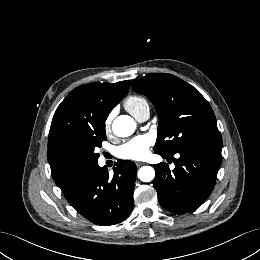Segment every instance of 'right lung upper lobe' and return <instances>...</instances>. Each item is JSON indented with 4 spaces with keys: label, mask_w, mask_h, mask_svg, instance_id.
<instances>
[{
    "label": "right lung upper lobe",
    "mask_w": 260,
    "mask_h": 260,
    "mask_svg": "<svg viewBox=\"0 0 260 260\" xmlns=\"http://www.w3.org/2000/svg\"><path fill=\"white\" fill-rule=\"evenodd\" d=\"M129 86V80L81 85L58 106L50 127L47 158L62 192L84 171L79 159L83 138L105 124L111 110L127 95Z\"/></svg>",
    "instance_id": "right-lung-upper-lobe-1"
}]
</instances>
